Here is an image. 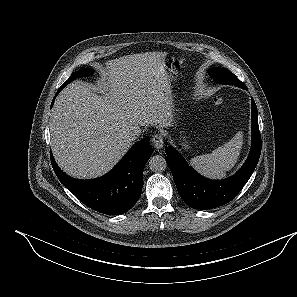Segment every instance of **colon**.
<instances>
[{"label":"colon","instance_id":"obj_1","mask_svg":"<svg viewBox=\"0 0 297 297\" xmlns=\"http://www.w3.org/2000/svg\"><path fill=\"white\" fill-rule=\"evenodd\" d=\"M214 105H221L223 103V99L221 97H216L212 100Z\"/></svg>","mask_w":297,"mask_h":297}]
</instances>
